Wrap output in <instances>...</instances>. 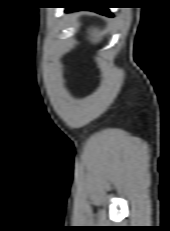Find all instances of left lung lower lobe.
<instances>
[{
    "label": "left lung lower lobe",
    "mask_w": 170,
    "mask_h": 231,
    "mask_svg": "<svg viewBox=\"0 0 170 231\" xmlns=\"http://www.w3.org/2000/svg\"><path fill=\"white\" fill-rule=\"evenodd\" d=\"M78 10H91V11H95L103 15L112 16L108 8L106 7H69V8H66L67 12L78 11Z\"/></svg>",
    "instance_id": "obj_1"
}]
</instances>
